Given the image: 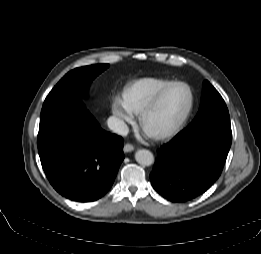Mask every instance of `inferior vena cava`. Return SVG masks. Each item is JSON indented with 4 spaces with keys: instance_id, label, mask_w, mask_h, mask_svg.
<instances>
[{
    "instance_id": "obj_1",
    "label": "inferior vena cava",
    "mask_w": 261,
    "mask_h": 254,
    "mask_svg": "<svg viewBox=\"0 0 261 254\" xmlns=\"http://www.w3.org/2000/svg\"><path fill=\"white\" fill-rule=\"evenodd\" d=\"M107 125L110 128V130L121 136H125L129 132L127 124L123 120L115 116H111L108 118Z\"/></svg>"
}]
</instances>
